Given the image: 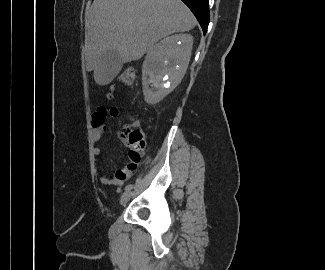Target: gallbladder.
<instances>
[{"instance_id": "1", "label": "gallbladder", "mask_w": 325, "mask_h": 270, "mask_svg": "<svg viewBox=\"0 0 325 270\" xmlns=\"http://www.w3.org/2000/svg\"><path fill=\"white\" fill-rule=\"evenodd\" d=\"M122 65L120 55L116 51H107L100 58L97 72L112 80L120 72Z\"/></svg>"}]
</instances>
